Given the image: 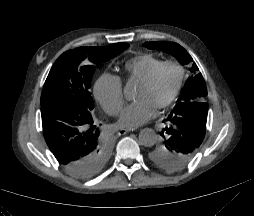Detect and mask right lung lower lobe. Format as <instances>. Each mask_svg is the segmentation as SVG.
I'll return each instance as SVG.
<instances>
[{
    "mask_svg": "<svg viewBox=\"0 0 254 216\" xmlns=\"http://www.w3.org/2000/svg\"><path fill=\"white\" fill-rule=\"evenodd\" d=\"M41 116L44 138L57 161L78 178L97 174L101 142L91 111L53 100L41 106Z\"/></svg>",
    "mask_w": 254,
    "mask_h": 216,
    "instance_id": "obj_1",
    "label": "right lung lower lobe"
}]
</instances>
